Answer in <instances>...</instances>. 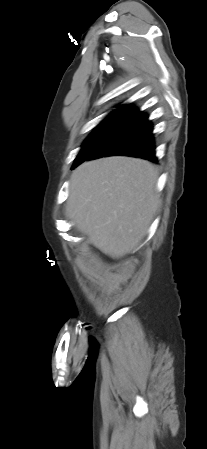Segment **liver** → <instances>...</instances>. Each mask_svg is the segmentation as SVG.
I'll return each mask as SVG.
<instances>
[{"label": "liver", "mask_w": 207, "mask_h": 449, "mask_svg": "<svg viewBox=\"0 0 207 449\" xmlns=\"http://www.w3.org/2000/svg\"><path fill=\"white\" fill-rule=\"evenodd\" d=\"M158 172L146 160L108 157L77 167L66 215L88 242L112 258L128 254L144 236L159 205Z\"/></svg>", "instance_id": "liver-1"}]
</instances>
